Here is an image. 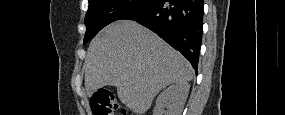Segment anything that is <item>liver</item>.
Returning a JSON list of instances; mask_svg holds the SVG:
<instances>
[{
	"mask_svg": "<svg viewBox=\"0 0 285 115\" xmlns=\"http://www.w3.org/2000/svg\"><path fill=\"white\" fill-rule=\"evenodd\" d=\"M84 69L88 96L103 86H116L120 101L140 115L160 90L194 75L179 52L131 20L109 24L91 41Z\"/></svg>",
	"mask_w": 285,
	"mask_h": 115,
	"instance_id": "obj_1",
	"label": "liver"
}]
</instances>
